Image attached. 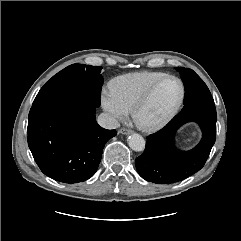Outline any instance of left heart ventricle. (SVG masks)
<instances>
[{"label": "left heart ventricle", "instance_id": "1", "mask_svg": "<svg viewBox=\"0 0 241 241\" xmlns=\"http://www.w3.org/2000/svg\"><path fill=\"white\" fill-rule=\"evenodd\" d=\"M180 85L174 79L162 82L153 93L149 102L140 112V119L146 122L163 117L177 102Z\"/></svg>", "mask_w": 241, "mask_h": 241}]
</instances>
